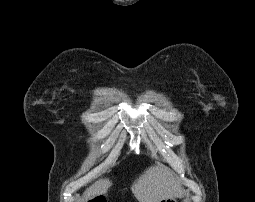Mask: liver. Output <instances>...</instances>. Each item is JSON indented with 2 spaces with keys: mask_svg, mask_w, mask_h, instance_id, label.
<instances>
[{
  "mask_svg": "<svg viewBox=\"0 0 255 202\" xmlns=\"http://www.w3.org/2000/svg\"><path fill=\"white\" fill-rule=\"evenodd\" d=\"M111 185L109 179L97 181L85 191L81 202L105 194ZM131 191L139 202H160L162 199L179 195L181 185L168 169L152 166L134 181Z\"/></svg>",
  "mask_w": 255,
  "mask_h": 202,
  "instance_id": "obj_1",
  "label": "liver"
}]
</instances>
